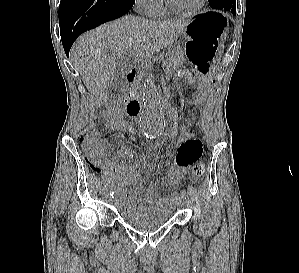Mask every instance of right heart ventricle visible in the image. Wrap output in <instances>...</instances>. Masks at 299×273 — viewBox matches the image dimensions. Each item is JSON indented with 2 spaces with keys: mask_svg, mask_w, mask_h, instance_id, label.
I'll return each instance as SVG.
<instances>
[{
  "mask_svg": "<svg viewBox=\"0 0 299 273\" xmlns=\"http://www.w3.org/2000/svg\"><path fill=\"white\" fill-rule=\"evenodd\" d=\"M167 13V10L161 5L159 4L156 8H154L150 14L153 16H163Z\"/></svg>",
  "mask_w": 299,
  "mask_h": 273,
  "instance_id": "right-heart-ventricle-1",
  "label": "right heart ventricle"
}]
</instances>
